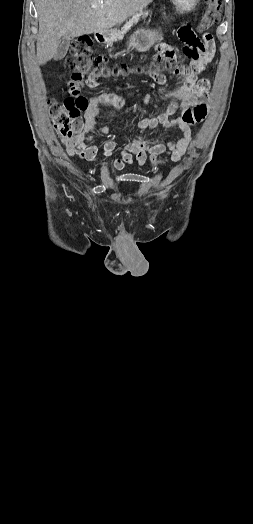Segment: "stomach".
I'll return each mask as SVG.
<instances>
[{"label":"stomach","instance_id":"0dacf381","mask_svg":"<svg viewBox=\"0 0 253 524\" xmlns=\"http://www.w3.org/2000/svg\"><path fill=\"white\" fill-rule=\"evenodd\" d=\"M199 0H172L178 13H188L192 11ZM156 41V32L149 29H137L130 37V46L139 51H147ZM102 42L110 45V34L102 35Z\"/></svg>","mask_w":253,"mask_h":524}]
</instances>
